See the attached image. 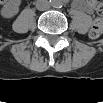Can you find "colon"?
<instances>
[{"label":"colon","instance_id":"obj_1","mask_svg":"<svg viewBox=\"0 0 103 103\" xmlns=\"http://www.w3.org/2000/svg\"><path fill=\"white\" fill-rule=\"evenodd\" d=\"M91 4H92V8H94L97 11L99 17H97L94 20L89 32V36L92 39H96L100 37L103 32V20L101 17L103 12V4L102 2L99 1H91Z\"/></svg>","mask_w":103,"mask_h":103}]
</instances>
